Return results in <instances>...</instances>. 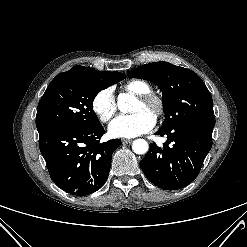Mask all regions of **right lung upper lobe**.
Returning <instances> with one entry per match:
<instances>
[{"label": "right lung upper lobe", "mask_w": 247, "mask_h": 247, "mask_svg": "<svg viewBox=\"0 0 247 247\" xmlns=\"http://www.w3.org/2000/svg\"><path fill=\"white\" fill-rule=\"evenodd\" d=\"M69 71L84 73V74L96 76V77H122V78L125 77L126 78V75L120 72H102V71H96L94 69L84 67V66H74Z\"/></svg>", "instance_id": "cb5924a9"}]
</instances>
